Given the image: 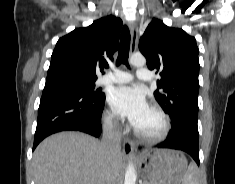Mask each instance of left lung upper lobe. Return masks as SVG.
I'll list each match as a JSON object with an SVG mask.
<instances>
[{
    "label": "left lung upper lobe",
    "mask_w": 235,
    "mask_h": 184,
    "mask_svg": "<svg viewBox=\"0 0 235 184\" xmlns=\"http://www.w3.org/2000/svg\"><path fill=\"white\" fill-rule=\"evenodd\" d=\"M139 49L148 68L161 76L154 95L172 124L180 118L197 123L200 65L195 38L153 19L140 38Z\"/></svg>",
    "instance_id": "obj_1"
}]
</instances>
